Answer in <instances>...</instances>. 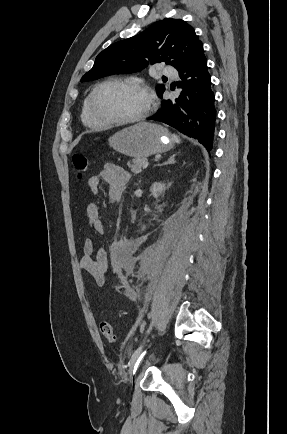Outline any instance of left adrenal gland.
Masks as SVG:
<instances>
[{
  "mask_svg": "<svg viewBox=\"0 0 287 434\" xmlns=\"http://www.w3.org/2000/svg\"><path fill=\"white\" fill-rule=\"evenodd\" d=\"M176 155L177 154H173L172 156H170L169 159L165 163H163L162 165L174 164L175 163V156Z\"/></svg>",
  "mask_w": 287,
  "mask_h": 434,
  "instance_id": "1",
  "label": "left adrenal gland"
}]
</instances>
